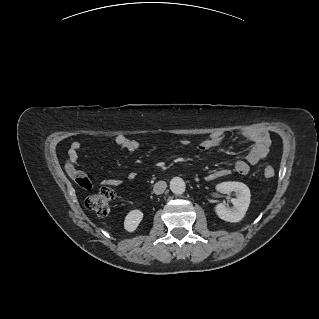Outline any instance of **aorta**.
I'll return each instance as SVG.
<instances>
[{
    "label": "aorta",
    "mask_w": 319,
    "mask_h": 319,
    "mask_svg": "<svg viewBox=\"0 0 319 319\" xmlns=\"http://www.w3.org/2000/svg\"><path fill=\"white\" fill-rule=\"evenodd\" d=\"M170 189L176 195L184 193L186 189L184 180L180 177L172 178L170 181Z\"/></svg>",
    "instance_id": "aorta-1"
}]
</instances>
